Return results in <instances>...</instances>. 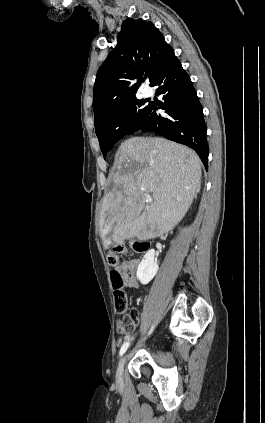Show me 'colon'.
Segmentation results:
<instances>
[{"label": "colon", "mask_w": 265, "mask_h": 423, "mask_svg": "<svg viewBox=\"0 0 265 423\" xmlns=\"http://www.w3.org/2000/svg\"><path fill=\"white\" fill-rule=\"evenodd\" d=\"M149 246L148 242L141 240H131L128 244H117L107 253V263L111 266H116L119 264L122 256L129 253V250L136 253H144L149 249ZM111 281L115 288L113 295L115 309L121 315L117 324V330L119 332H130L133 330L137 311L129 308L127 296L121 288L123 280L118 271L114 270L111 272Z\"/></svg>", "instance_id": "obj_1"}]
</instances>
